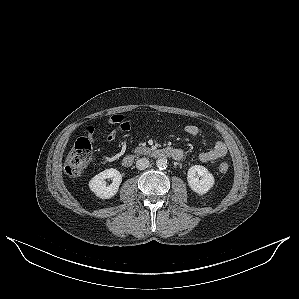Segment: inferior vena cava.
<instances>
[{
	"mask_svg": "<svg viewBox=\"0 0 299 299\" xmlns=\"http://www.w3.org/2000/svg\"><path fill=\"white\" fill-rule=\"evenodd\" d=\"M148 166H149V160L145 157L140 158L136 161V167L139 170H144L148 168Z\"/></svg>",
	"mask_w": 299,
	"mask_h": 299,
	"instance_id": "inferior-vena-cava-1",
	"label": "inferior vena cava"
}]
</instances>
